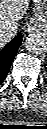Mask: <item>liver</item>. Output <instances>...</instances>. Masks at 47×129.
<instances>
[{
  "mask_svg": "<svg viewBox=\"0 0 47 129\" xmlns=\"http://www.w3.org/2000/svg\"><path fill=\"white\" fill-rule=\"evenodd\" d=\"M30 6V0H0V31L14 28L17 30V21L23 18ZM7 41L0 39L2 47Z\"/></svg>",
  "mask_w": 47,
  "mask_h": 129,
  "instance_id": "1",
  "label": "liver"
}]
</instances>
